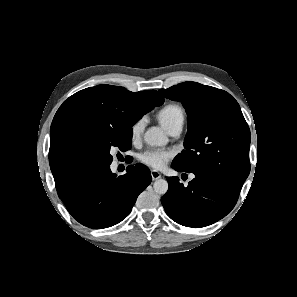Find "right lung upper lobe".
Instances as JSON below:
<instances>
[{
    "mask_svg": "<svg viewBox=\"0 0 297 297\" xmlns=\"http://www.w3.org/2000/svg\"><path fill=\"white\" fill-rule=\"evenodd\" d=\"M155 90L131 92L124 87L99 85L70 96L58 109L50 129L49 163L57 192L84 169L77 147L92 133L132 126L148 109L163 104Z\"/></svg>",
    "mask_w": 297,
    "mask_h": 297,
    "instance_id": "obj_1",
    "label": "right lung upper lobe"
}]
</instances>
